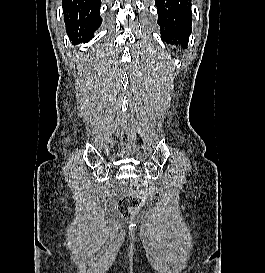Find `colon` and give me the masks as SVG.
I'll list each match as a JSON object with an SVG mask.
<instances>
[{
  "label": "colon",
  "instance_id": "obj_1",
  "mask_svg": "<svg viewBox=\"0 0 265 273\" xmlns=\"http://www.w3.org/2000/svg\"><path fill=\"white\" fill-rule=\"evenodd\" d=\"M144 201V193L136 187L117 203V211L123 218H130Z\"/></svg>",
  "mask_w": 265,
  "mask_h": 273
}]
</instances>
